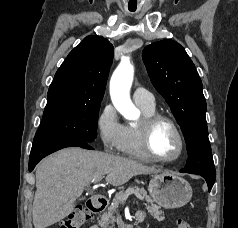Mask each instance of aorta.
Returning a JSON list of instances; mask_svg holds the SVG:
<instances>
[{"mask_svg":"<svg viewBox=\"0 0 238 228\" xmlns=\"http://www.w3.org/2000/svg\"><path fill=\"white\" fill-rule=\"evenodd\" d=\"M134 77V67L126 60L121 61L110 80V95L114 107L126 119H135L138 110L130 99V88Z\"/></svg>","mask_w":238,"mask_h":228,"instance_id":"762f6f07","label":"aorta"}]
</instances>
